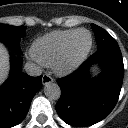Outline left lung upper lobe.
<instances>
[{"label": "left lung upper lobe", "instance_id": "5c2ea615", "mask_svg": "<svg viewBox=\"0 0 128 128\" xmlns=\"http://www.w3.org/2000/svg\"><path fill=\"white\" fill-rule=\"evenodd\" d=\"M91 27L95 33L98 49L105 46L117 45L116 40L106 30L95 24H91Z\"/></svg>", "mask_w": 128, "mask_h": 128}]
</instances>
